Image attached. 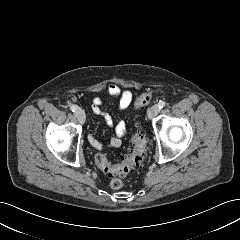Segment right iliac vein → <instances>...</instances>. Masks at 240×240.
<instances>
[{
  "instance_id": "63e3f726",
  "label": "right iliac vein",
  "mask_w": 240,
  "mask_h": 240,
  "mask_svg": "<svg viewBox=\"0 0 240 240\" xmlns=\"http://www.w3.org/2000/svg\"><path fill=\"white\" fill-rule=\"evenodd\" d=\"M75 116L80 123H84L85 120H86L85 113L82 109H77L76 112H75Z\"/></svg>"
}]
</instances>
